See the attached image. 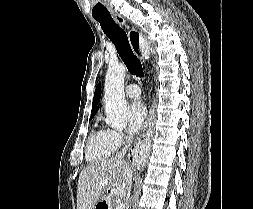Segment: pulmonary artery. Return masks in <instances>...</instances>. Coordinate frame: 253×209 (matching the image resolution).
<instances>
[{
	"instance_id": "1",
	"label": "pulmonary artery",
	"mask_w": 253,
	"mask_h": 209,
	"mask_svg": "<svg viewBox=\"0 0 253 209\" xmlns=\"http://www.w3.org/2000/svg\"><path fill=\"white\" fill-rule=\"evenodd\" d=\"M125 92L127 96L131 98H137L140 96L141 93L140 88L137 84H129L128 86H126Z\"/></svg>"
}]
</instances>
